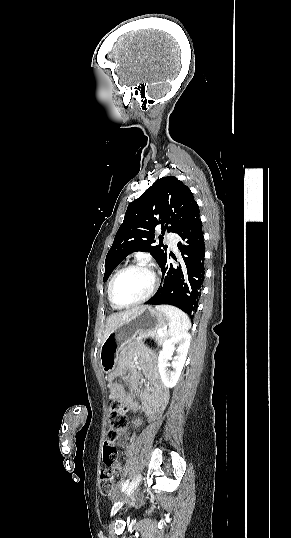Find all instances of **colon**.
I'll list each match as a JSON object with an SVG mask.
<instances>
[{"label":"colon","mask_w":291,"mask_h":538,"mask_svg":"<svg viewBox=\"0 0 291 538\" xmlns=\"http://www.w3.org/2000/svg\"><path fill=\"white\" fill-rule=\"evenodd\" d=\"M145 343L150 348H155L157 346V342L154 339H147ZM126 424V408L119 402L111 400L109 405V430L103 448V461L108 466V469L101 473L99 479V489L105 496H111L115 491L114 480L117 472L112 468L116 464L117 452L114 446V441Z\"/></svg>","instance_id":"obj_1"}]
</instances>
